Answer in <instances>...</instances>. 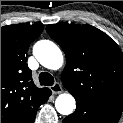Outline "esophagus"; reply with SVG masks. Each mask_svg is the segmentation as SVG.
Returning a JSON list of instances; mask_svg holds the SVG:
<instances>
[{
    "label": "esophagus",
    "instance_id": "1",
    "mask_svg": "<svg viewBox=\"0 0 123 123\" xmlns=\"http://www.w3.org/2000/svg\"><path fill=\"white\" fill-rule=\"evenodd\" d=\"M51 90L53 92V94H59L62 92V86L59 82H55L52 86H51Z\"/></svg>",
    "mask_w": 123,
    "mask_h": 123
}]
</instances>
